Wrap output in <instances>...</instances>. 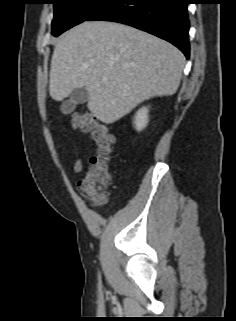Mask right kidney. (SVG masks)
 Masks as SVG:
<instances>
[{
    "label": "right kidney",
    "mask_w": 236,
    "mask_h": 321,
    "mask_svg": "<svg viewBox=\"0 0 236 321\" xmlns=\"http://www.w3.org/2000/svg\"><path fill=\"white\" fill-rule=\"evenodd\" d=\"M149 109L148 107H142L136 112V115L134 116L133 124L135 125V129L139 132L143 130L148 122H149Z\"/></svg>",
    "instance_id": "right-kidney-1"
}]
</instances>
